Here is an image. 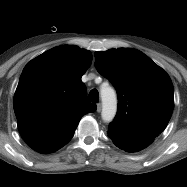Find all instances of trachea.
<instances>
[{
    "label": "trachea",
    "instance_id": "1",
    "mask_svg": "<svg viewBox=\"0 0 187 187\" xmlns=\"http://www.w3.org/2000/svg\"><path fill=\"white\" fill-rule=\"evenodd\" d=\"M88 101L94 102V103H97L99 101V93L97 89H92L90 91L89 96H88Z\"/></svg>",
    "mask_w": 187,
    "mask_h": 187
}]
</instances>
